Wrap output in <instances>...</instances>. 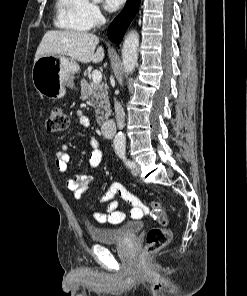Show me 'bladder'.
<instances>
[{
  "label": "bladder",
  "mask_w": 247,
  "mask_h": 296,
  "mask_svg": "<svg viewBox=\"0 0 247 296\" xmlns=\"http://www.w3.org/2000/svg\"><path fill=\"white\" fill-rule=\"evenodd\" d=\"M144 227L141 221H129L122 226L112 228H100L95 226H89L88 230L97 243L109 244L120 241H125L131 236H134L140 232Z\"/></svg>",
  "instance_id": "bladder-1"
}]
</instances>
